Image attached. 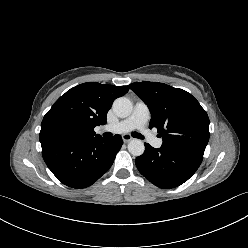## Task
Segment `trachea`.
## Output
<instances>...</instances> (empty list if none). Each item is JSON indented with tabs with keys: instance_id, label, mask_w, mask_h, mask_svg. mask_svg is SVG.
<instances>
[{
	"instance_id": "trachea-1",
	"label": "trachea",
	"mask_w": 248,
	"mask_h": 248,
	"mask_svg": "<svg viewBox=\"0 0 248 248\" xmlns=\"http://www.w3.org/2000/svg\"><path fill=\"white\" fill-rule=\"evenodd\" d=\"M111 136H112V133H110V132L104 133V137H106V138H110ZM132 136L135 137V138H139V139L144 138L140 133H136V132L133 133Z\"/></svg>"
}]
</instances>
